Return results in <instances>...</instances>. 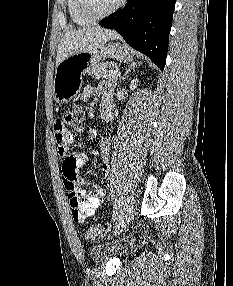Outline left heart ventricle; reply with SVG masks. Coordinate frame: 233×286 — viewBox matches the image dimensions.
<instances>
[{
  "instance_id": "obj_1",
  "label": "left heart ventricle",
  "mask_w": 233,
  "mask_h": 286,
  "mask_svg": "<svg viewBox=\"0 0 233 286\" xmlns=\"http://www.w3.org/2000/svg\"><path fill=\"white\" fill-rule=\"evenodd\" d=\"M118 0H89L90 8L94 14H101L111 9Z\"/></svg>"
}]
</instances>
